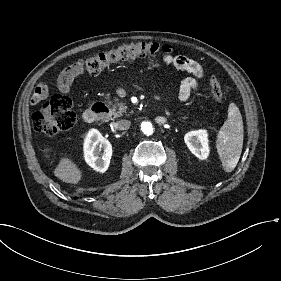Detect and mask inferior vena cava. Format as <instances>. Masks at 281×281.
<instances>
[{"label": "inferior vena cava", "instance_id": "1", "mask_svg": "<svg viewBox=\"0 0 281 281\" xmlns=\"http://www.w3.org/2000/svg\"><path fill=\"white\" fill-rule=\"evenodd\" d=\"M131 122L129 120H119L116 122V129L118 130H128L130 128Z\"/></svg>", "mask_w": 281, "mask_h": 281}]
</instances>
